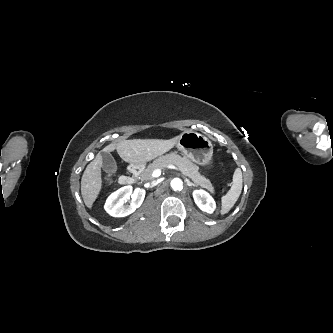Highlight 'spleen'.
<instances>
[{
	"instance_id": "spleen-1",
	"label": "spleen",
	"mask_w": 333,
	"mask_h": 333,
	"mask_svg": "<svg viewBox=\"0 0 333 333\" xmlns=\"http://www.w3.org/2000/svg\"><path fill=\"white\" fill-rule=\"evenodd\" d=\"M242 191V172L237 168L233 174V182L228 193L221 198V214L228 213L237 202Z\"/></svg>"
}]
</instances>
